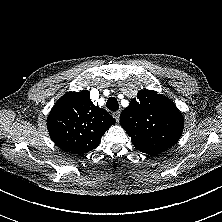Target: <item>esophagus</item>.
<instances>
[{"label":"esophagus","instance_id":"34e87169","mask_svg":"<svg viewBox=\"0 0 222 222\" xmlns=\"http://www.w3.org/2000/svg\"><path fill=\"white\" fill-rule=\"evenodd\" d=\"M113 117L115 118V120H116L117 122H119L120 111H115V112H113Z\"/></svg>","mask_w":222,"mask_h":222}]
</instances>
